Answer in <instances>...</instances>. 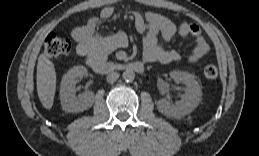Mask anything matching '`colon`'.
Segmentation results:
<instances>
[{"label": "colon", "instance_id": "colon-1", "mask_svg": "<svg viewBox=\"0 0 259 156\" xmlns=\"http://www.w3.org/2000/svg\"><path fill=\"white\" fill-rule=\"evenodd\" d=\"M70 41L56 33H50L45 40L44 50L49 58H57L69 52ZM203 74L207 79H214L218 75V69L213 64L204 67Z\"/></svg>", "mask_w": 259, "mask_h": 156}]
</instances>
